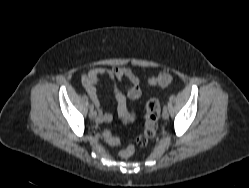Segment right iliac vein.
Masks as SVG:
<instances>
[{"label":"right iliac vein","mask_w":249,"mask_h":188,"mask_svg":"<svg viewBox=\"0 0 249 188\" xmlns=\"http://www.w3.org/2000/svg\"><path fill=\"white\" fill-rule=\"evenodd\" d=\"M96 115H97V113H96V111H94V110H91L90 113H89V117H90L91 119L96 118Z\"/></svg>","instance_id":"1"}]
</instances>
